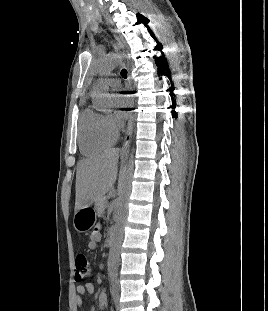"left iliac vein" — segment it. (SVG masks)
I'll return each instance as SVG.
<instances>
[{"label": "left iliac vein", "mask_w": 268, "mask_h": 311, "mask_svg": "<svg viewBox=\"0 0 268 311\" xmlns=\"http://www.w3.org/2000/svg\"><path fill=\"white\" fill-rule=\"evenodd\" d=\"M117 311H119V307L117 306Z\"/></svg>", "instance_id": "4c4485c4"}]
</instances>
